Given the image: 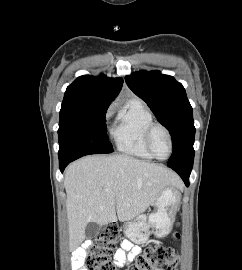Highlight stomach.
Returning a JSON list of instances; mask_svg holds the SVG:
<instances>
[{"label": "stomach", "instance_id": "0dacf381", "mask_svg": "<svg viewBox=\"0 0 242 270\" xmlns=\"http://www.w3.org/2000/svg\"><path fill=\"white\" fill-rule=\"evenodd\" d=\"M180 203V192L173 186L164 188L155 199V210L148 216L138 215L124 225L126 237L135 244H144L149 236L166 237L172 230Z\"/></svg>", "mask_w": 242, "mask_h": 270}]
</instances>
